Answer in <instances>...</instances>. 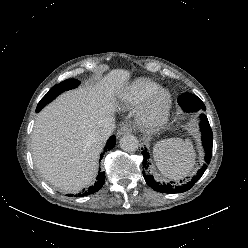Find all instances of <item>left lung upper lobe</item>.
Masks as SVG:
<instances>
[{
  "mask_svg": "<svg viewBox=\"0 0 248 248\" xmlns=\"http://www.w3.org/2000/svg\"><path fill=\"white\" fill-rule=\"evenodd\" d=\"M178 103L186 112H194L200 109L205 110L204 103L191 93H183L178 98Z\"/></svg>",
  "mask_w": 248,
  "mask_h": 248,
  "instance_id": "obj_1",
  "label": "left lung upper lobe"
}]
</instances>
